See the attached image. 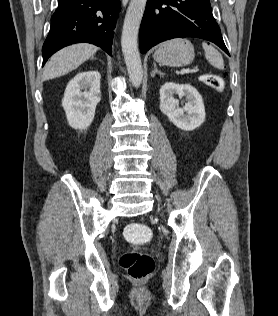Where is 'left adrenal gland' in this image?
Returning <instances> with one entry per match:
<instances>
[{
  "mask_svg": "<svg viewBox=\"0 0 278 316\" xmlns=\"http://www.w3.org/2000/svg\"><path fill=\"white\" fill-rule=\"evenodd\" d=\"M156 74H159L162 77L165 75L164 73H162L161 71L157 69L156 63H154V70L151 73V77H155Z\"/></svg>",
  "mask_w": 278,
  "mask_h": 316,
  "instance_id": "left-adrenal-gland-1",
  "label": "left adrenal gland"
}]
</instances>
